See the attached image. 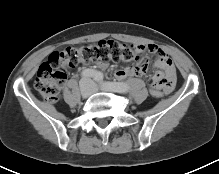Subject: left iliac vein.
I'll return each instance as SVG.
<instances>
[{
	"label": "left iliac vein",
	"instance_id": "obj_1",
	"mask_svg": "<svg viewBox=\"0 0 219 174\" xmlns=\"http://www.w3.org/2000/svg\"><path fill=\"white\" fill-rule=\"evenodd\" d=\"M101 89H103V90H105V91H113V92H116V91H114V90H112V89H110V88H108V87H103V86H101ZM97 90H98V87H94V88H93V92H97Z\"/></svg>",
	"mask_w": 219,
	"mask_h": 174
}]
</instances>
